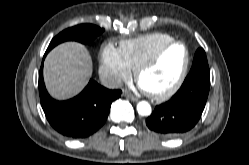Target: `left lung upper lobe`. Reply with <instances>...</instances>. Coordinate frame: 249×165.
Returning a JSON list of instances; mask_svg holds the SVG:
<instances>
[{
  "label": "left lung upper lobe",
  "mask_w": 249,
  "mask_h": 165,
  "mask_svg": "<svg viewBox=\"0 0 249 165\" xmlns=\"http://www.w3.org/2000/svg\"><path fill=\"white\" fill-rule=\"evenodd\" d=\"M193 72L210 73L206 54L203 48H199L195 53L192 68L189 73Z\"/></svg>",
  "instance_id": "left-lung-upper-lobe-1"
}]
</instances>
